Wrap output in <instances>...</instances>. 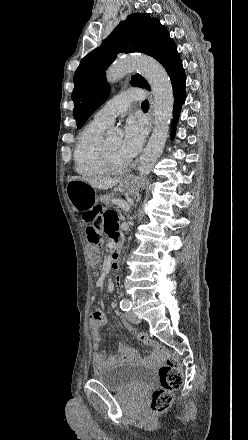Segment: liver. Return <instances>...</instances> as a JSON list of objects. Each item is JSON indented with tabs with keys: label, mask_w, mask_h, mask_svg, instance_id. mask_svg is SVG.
I'll list each match as a JSON object with an SVG mask.
<instances>
[{
	"label": "liver",
	"mask_w": 248,
	"mask_h": 440,
	"mask_svg": "<svg viewBox=\"0 0 248 440\" xmlns=\"http://www.w3.org/2000/svg\"><path fill=\"white\" fill-rule=\"evenodd\" d=\"M70 180H80L88 183L93 188H98V189H109L121 182L120 178L101 179V178H83L77 176L72 177Z\"/></svg>",
	"instance_id": "liver-1"
}]
</instances>
